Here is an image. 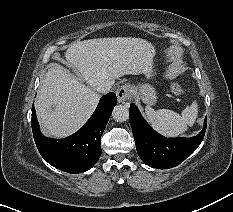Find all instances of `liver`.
I'll return each instance as SVG.
<instances>
[{
    "label": "liver",
    "instance_id": "obj_1",
    "mask_svg": "<svg viewBox=\"0 0 233 212\" xmlns=\"http://www.w3.org/2000/svg\"><path fill=\"white\" fill-rule=\"evenodd\" d=\"M154 54V46L141 38L108 37L73 43L65 58L87 85L60 64L50 65L35 103L42 132L55 138L76 132L98 104L97 86L113 85L123 75L147 73Z\"/></svg>",
    "mask_w": 233,
    "mask_h": 212
}]
</instances>
